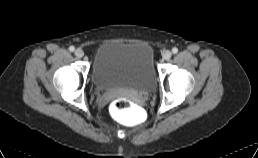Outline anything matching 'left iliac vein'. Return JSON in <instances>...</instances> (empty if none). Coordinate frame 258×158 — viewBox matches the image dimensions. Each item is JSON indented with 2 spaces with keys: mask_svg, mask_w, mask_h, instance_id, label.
Returning a JSON list of instances; mask_svg holds the SVG:
<instances>
[{
  "mask_svg": "<svg viewBox=\"0 0 258 158\" xmlns=\"http://www.w3.org/2000/svg\"><path fill=\"white\" fill-rule=\"evenodd\" d=\"M172 53L169 50L163 52L162 57L165 60H169L171 58Z\"/></svg>",
  "mask_w": 258,
  "mask_h": 158,
  "instance_id": "obj_1",
  "label": "left iliac vein"
}]
</instances>
